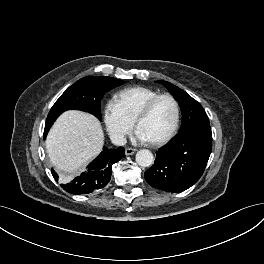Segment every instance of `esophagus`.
Wrapping results in <instances>:
<instances>
[{
  "instance_id": "obj_1",
  "label": "esophagus",
  "mask_w": 264,
  "mask_h": 264,
  "mask_svg": "<svg viewBox=\"0 0 264 264\" xmlns=\"http://www.w3.org/2000/svg\"><path fill=\"white\" fill-rule=\"evenodd\" d=\"M136 151H137V149H134V148H126L125 154L126 155H133Z\"/></svg>"
}]
</instances>
